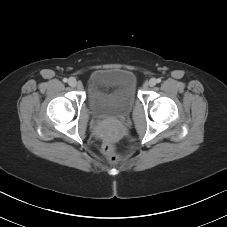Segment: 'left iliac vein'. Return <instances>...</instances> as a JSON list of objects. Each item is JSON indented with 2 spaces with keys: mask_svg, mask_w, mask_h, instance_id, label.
I'll return each mask as SVG.
<instances>
[{
  "mask_svg": "<svg viewBox=\"0 0 227 227\" xmlns=\"http://www.w3.org/2000/svg\"><path fill=\"white\" fill-rule=\"evenodd\" d=\"M156 83H157V81H156L155 78H151V79L148 81V85H149L150 87L155 86Z\"/></svg>",
  "mask_w": 227,
  "mask_h": 227,
  "instance_id": "left-iliac-vein-1",
  "label": "left iliac vein"
}]
</instances>
